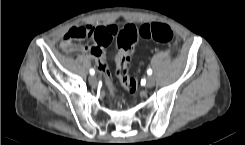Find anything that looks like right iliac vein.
Masks as SVG:
<instances>
[{
    "label": "right iliac vein",
    "instance_id": "obj_1",
    "mask_svg": "<svg viewBox=\"0 0 245 145\" xmlns=\"http://www.w3.org/2000/svg\"><path fill=\"white\" fill-rule=\"evenodd\" d=\"M89 83L93 86H96L97 85V78L96 76L92 75L89 77Z\"/></svg>",
    "mask_w": 245,
    "mask_h": 145
}]
</instances>
